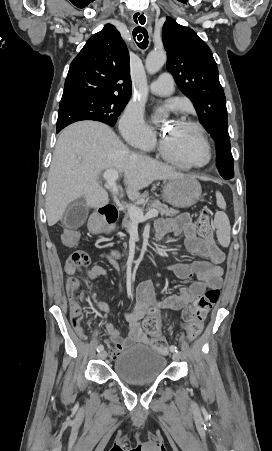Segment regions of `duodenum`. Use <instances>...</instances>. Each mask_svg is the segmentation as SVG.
I'll return each mask as SVG.
<instances>
[{
    "mask_svg": "<svg viewBox=\"0 0 272 451\" xmlns=\"http://www.w3.org/2000/svg\"><path fill=\"white\" fill-rule=\"evenodd\" d=\"M118 210L114 205L108 204L99 209L98 215L89 224L92 234L100 235L107 231L109 225L116 222ZM140 248H138L139 250Z\"/></svg>",
    "mask_w": 272,
    "mask_h": 451,
    "instance_id": "obj_1",
    "label": "duodenum"
}]
</instances>
